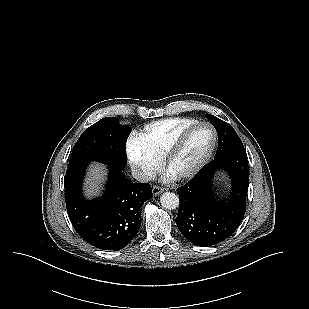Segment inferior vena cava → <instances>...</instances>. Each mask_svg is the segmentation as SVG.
I'll use <instances>...</instances> for the list:
<instances>
[{
  "mask_svg": "<svg viewBox=\"0 0 309 309\" xmlns=\"http://www.w3.org/2000/svg\"><path fill=\"white\" fill-rule=\"evenodd\" d=\"M132 176L140 182H148L153 179L152 175L140 169H133Z\"/></svg>",
  "mask_w": 309,
  "mask_h": 309,
  "instance_id": "1",
  "label": "inferior vena cava"
}]
</instances>
